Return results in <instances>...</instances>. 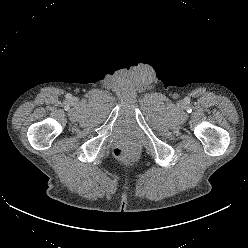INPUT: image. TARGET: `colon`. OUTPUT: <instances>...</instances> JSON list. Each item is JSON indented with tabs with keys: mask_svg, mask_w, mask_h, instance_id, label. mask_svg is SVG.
I'll use <instances>...</instances> for the list:
<instances>
[{
	"mask_svg": "<svg viewBox=\"0 0 248 248\" xmlns=\"http://www.w3.org/2000/svg\"><path fill=\"white\" fill-rule=\"evenodd\" d=\"M114 154L117 159L123 162H130L134 159V150L126 147H118L115 149Z\"/></svg>",
	"mask_w": 248,
	"mask_h": 248,
	"instance_id": "colon-1",
	"label": "colon"
}]
</instances>
